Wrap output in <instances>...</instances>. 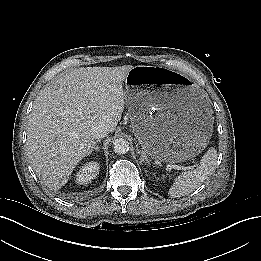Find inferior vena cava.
I'll return each instance as SVG.
<instances>
[{"label":"inferior vena cava","mask_w":261,"mask_h":261,"mask_svg":"<svg viewBox=\"0 0 261 261\" xmlns=\"http://www.w3.org/2000/svg\"><path fill=\"white\" fill-rule=\"evenodd\" d=\"M92 132L95 138L100 139L106 137L109 133V130L104 125H98L93 127Z\"/></svg>","instance_id":"1"}]
</instances>
